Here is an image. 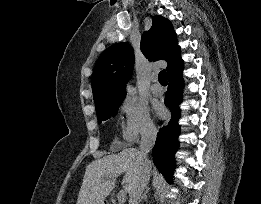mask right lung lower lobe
<instances>
[{"mask_svg":"<svg viewBox=\"0 0 261 204\" xmlns=\"http://www.w3.org/2000/svg\"><path fill=\"white\" fill-rule=\"evenodd\" d=\"M183 65L168 75L169 86L165 96V105L171 111V119L167 126L160 129L153 148V162L167 181H172L175 166V153L178 149V135L180 133L178 119L180 116L179 104L183 88Z\"/></svg>","mask_w":261,"mask_h":204,"instance_id":"98d812e1","label":"right lung lower lobe"}]
</instances>
